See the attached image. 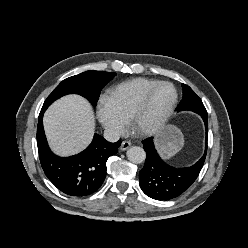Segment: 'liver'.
<instances>
[{
  "mask_svg": "<svg viewBox=\"0 0 248 248\" xmlns=\"http://www.w3.org/2000/svg\"><path fill=\"white\" fill-rule=\"evenodd\" d=\"M43 124L52 150L61 156L85 149L95 130L92 108L78 95H67L55 101L46 110Z\"/></svg>",
  "mask_w": 248,
  "mask_h": 248,
  "instance_id": "1",
  "label": "liver"
}]
</instances>
